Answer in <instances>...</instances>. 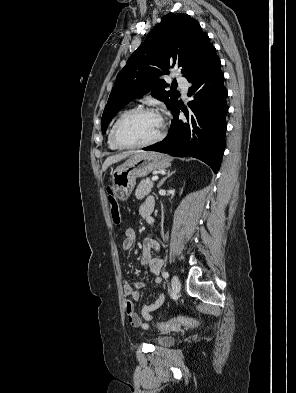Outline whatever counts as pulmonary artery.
<instances>
[{
	"mask_svg": "<svg viewBox=\"0 0 296 393\" xmlns=\"http://www.w3.org/2000/svg\"><path fill=\"white\" fill-rule=\"evenodd\" d=\"M176 80L178 82V85L180 86L183 95H186L187 90H188V86H189V82L185 77L182 76H177Z\"/></svg>",
	"mask_w": 296,
	"mask_h": 393,
	"instance_id": "obj_1",
	"label": "pulmonary artery"
}]
</instances>
